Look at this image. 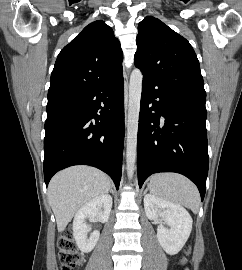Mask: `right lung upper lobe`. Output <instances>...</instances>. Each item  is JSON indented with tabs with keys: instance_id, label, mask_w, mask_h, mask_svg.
<instances>
[{
	"instance_id": "1",
	"label": "right lung upper lobe",
	"mask_w": 242,
	"mask_h": 270,
	"mask_svg": "<svg viewBox=\"0 0 242 270\" xmlns=\"http://www.w3.org/2000/svg\"><path fill=\"white\" fill-rule=\"evenodd\" d=\"M122 59L112 28L102 20L92 22L59 53L48 102L73 96L122 73Z\"/></svg>"
}]
</instances>
